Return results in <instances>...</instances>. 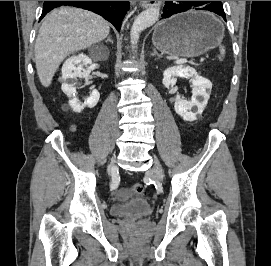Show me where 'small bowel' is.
Masks as SVG:
<instances>
[{
  "label": "small bowel",
  "mask_w": 271,
  "mask_h": 266,
  "mask_svg": "<svg viewBox=\"0 0 271 266\" xmlns=\"http://www.w3.org/2000/svg\"><path fill=\"white\" fill-rule=\"evenodd\" d=\"M119 196H120L121 198L125 197V196H126V192H125V191H121L120 194H119Z\"/></svg>",
  "instance_id": "small-bowel-1"
}]
</instances>
